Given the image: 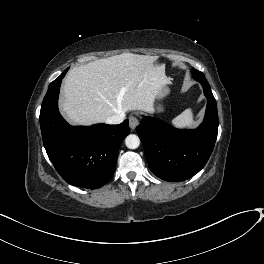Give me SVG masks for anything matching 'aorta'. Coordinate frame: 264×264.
I'll use <instances>...</instances> for the list:
<instances>
[{
	"label": "aorta",
	"instance_id": "762f6f07",
	"mask_svg": "<svg viewBox=\"0 0 264 264\" xmlns=\"http://www.w3.org/2000/svg\"><path fill=\"white\" fill-rule=\"evenodd\" d=\"M125 145L129 149H136L140 145V139H139V137L137 135L130 134L125 139Z\"/></svg>",
	"mask_w": 264,
	"mask_h": 264
}]
</instances>
